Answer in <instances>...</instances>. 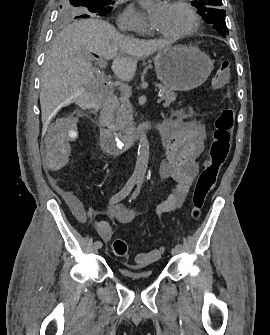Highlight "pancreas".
Returning a JSON list of instances; mask_svg holds the SVG:
<instances>
[{
    "label": "pancreas",
    "mask_w": 270,
    "mask_h": 335,
    "mask_svg": "<svg viewBox=\"0 0 270 335\" xmlns=\"http://www.w3.org/2000/svg\"><path fill=\"white\" fill-rule=\"evenodd\" d=\"M156 86L161 90V94H163V96H161V99L164 100V104H162L163 108H169L170 104L176 100L175 92H173V90H168V88H164L161 84H156ZM132 118V110H120L114 124L115 132H119V134L128 132V130H130L129 126Z\"/></svg>",
    "instance_id": "pancreas-1"
}]
</instances>
